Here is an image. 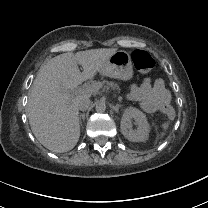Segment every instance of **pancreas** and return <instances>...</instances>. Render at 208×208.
I'll use <instances>...</instances> for the list:
<instances>
[{"instance_id":"cf45deb5","label":"pancreas","mask_w":208,"mask_h":208,"mask_svg":"<svg viewBox=\"0 0 208 208\" xmlns=\"http://www.w3.org/2000/svg\"><path fill=\"white\" fill-rule=\"evenodd\" d=\"M108 87L114 88L116 89L118 92H120V89L118 87L117 84H115L114 82H107Z\"/></svg>"}]
</instances>
